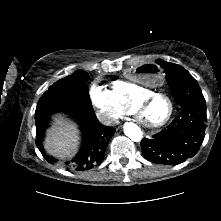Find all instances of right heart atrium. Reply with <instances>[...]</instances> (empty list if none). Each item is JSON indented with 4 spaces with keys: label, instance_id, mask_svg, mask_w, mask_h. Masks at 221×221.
<instances>
[{
    "label": "right heart atrium",
    "instance_id": "right-heart-atrium-1",
    "mask_svg": "<svg viewBox=\"0 0 221 221\" xmlns=\"http://www.w3.org/2000/svg\"><path fill=\"white\" fill-rule=\"evenodd\" d=\"M90 97L100 119L106 123H114L126 114V109L115 99L111 91L101 85L91 86Z\"/></svg>",
    "mask_w": 221,
    "mask_h": 221
}]
</instances>
